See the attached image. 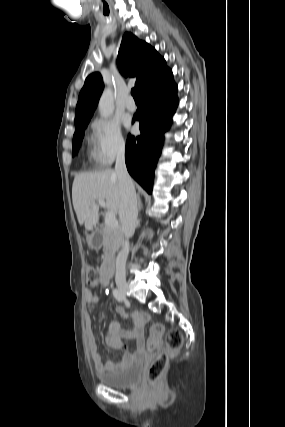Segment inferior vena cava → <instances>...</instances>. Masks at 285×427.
Returning <instances> with one entry per match:
<instances>
[{
  "label": "inferior vena cava",
  "mask_w": 285,
  "mask_h": 427,
  "mask_svg": "<svg viewBox=\"0 0 285 427\" xmlns=\"http://www.w3.org/2000/svg\"><path fill=\"white\" fill-rule=\"evenodd\" d=\"M115 172L120 189L119 217L125 242L116 258V274L125 275V265L129 253V238L134 234L138 222L137 197L132 179L125 164V148L121 147L117 153Z\"/></svg>",
  "instance_id": "inferior-vena-cava-1"
}]
</instances>
